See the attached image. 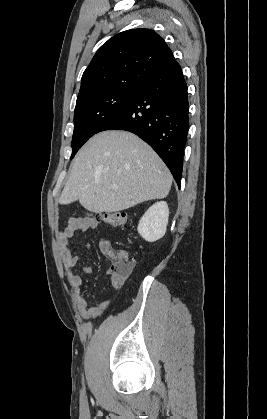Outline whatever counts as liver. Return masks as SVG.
<instances>
[{"mask_svg": "<svg viewBox=\"0 0 267 419\" xmlns=\"http://www.w3.org/2000/svg\"><path fill=\"white\" fill-rule=\"evenodd\" d=\"M171 184L167 166L138 136L104 131L78 152L59 203L79 201L91 212H118L165 198Z\"/></svg>", "mask_w": 267, "mask_h": 419, "instance_id": "obj_1", "label": "liver"}]
</instances>
